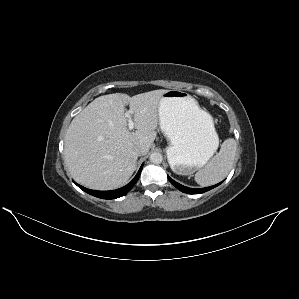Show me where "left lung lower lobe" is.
Listing matches in <instances>:
<instances>
[{
	"label": "left lung lower lobe",
	"instance_id": "0a47b994",
	"mask_svg": "<svg viewBox=\"0 0 299 299\" xmlns=\"http://www.w3.org/2000/svg\"><path fill=\"white\" fill-rule=\"evenodd\" d=\"M168 179L169 181L177 188L179 189L180 191L184 192V193H188V194H201V193H204L206 191H209L211 190L212 188L218 186L219 184H216L214 186H210V187H205V188H188V187H185L177 182H175L174 180H172L169 176H168Z\"/></svg>",
	"mask_w": 299,
	"mask_h": 299
}]
</instances>
